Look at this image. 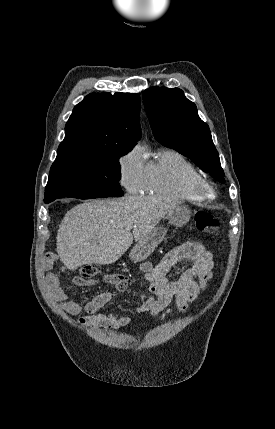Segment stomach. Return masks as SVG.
<instances>
[{"label": "stomach", "mask_w": 275, "mask_h": 429, "mask_svg": "<svg viewBox=\"0 0 275 429\" xmlns=\"http://www.w3.org/2000/svg\"><path fill=\"white\" fill-rule=\"evenodd\" d=\"M190 214L191 211L187 206L177 205L171 212L167 214L166 218L170 224L181 227L189 221ZM166 233L167 230L163 226L154 228L148 236L136 243L129 254L130 259L135 262L146 259L162 242L166 236Z\"/></svg>", "instance_id": "0dacf381"}]
</instances>
